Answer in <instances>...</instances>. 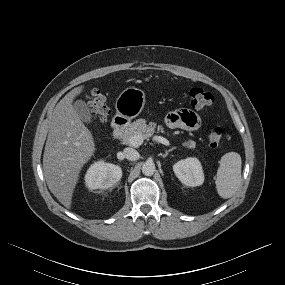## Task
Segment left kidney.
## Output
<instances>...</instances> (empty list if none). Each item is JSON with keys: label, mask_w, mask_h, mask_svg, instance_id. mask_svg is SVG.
<instances>
[{"label": "left kidney", "mask_w": 285, "mask_h": 285, "mask_svg": "<svg viewBox=\"0 0 285 285\" xmlns=\"http://www.w3.org/2000/svg\"><path fill=\"white\" fill-rule=\"evenodd\" d=\"M176 177L186 186H200L204 182V173L200 161L189 157L173 165Z\"/></svg>", "instance_id": "obj_1"}]
</instances>
